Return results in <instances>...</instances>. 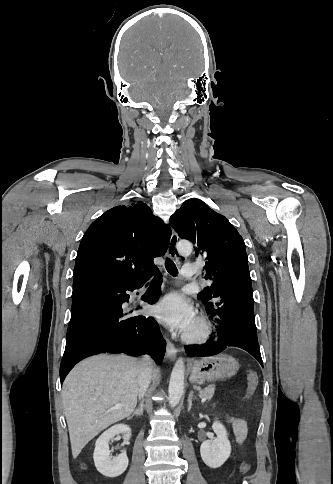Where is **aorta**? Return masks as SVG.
<instances>
[{"mask_svg": "<svg viewBox=\"0 0 333 484\" xmlns=\"http://www.w3.org/2000/svg\"><path fill=\"white\" fill-rule=\"evenodd\" d=\"M177 250L179 254L187 256L192 251V245L187 241H180L177 244ZM184 372V361L182 358H179L173 367L168 388V401L171 407H175L182 397L184 390Z\"/></svg>", "mask_w": 333, "mask_h": 484, "instance_id": "1", "label": "aorta"}]
</instances>
